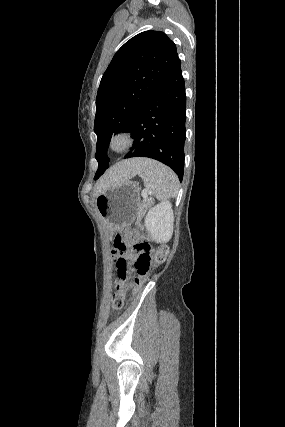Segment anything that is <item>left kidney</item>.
Wrapping results in <instances>:
<instances>
[{
  "label": "left kidney",
  "mask_w": 285,
  "mask_h": 427,
  "mask_svg": "<svg viewBox=\"0 0 285 427\" xmlns=\"http://www.w3.org/2000/svg\"><path fill=\"white\" fill-rule=\"evenodd\" d=\"M145 226L152 240L157 243L168 242L173 234L174 215L170 202H161L152 207L146 217Z\"/></svg>",
  "instance_id": "left-kidney-1"
}]
</instances>
